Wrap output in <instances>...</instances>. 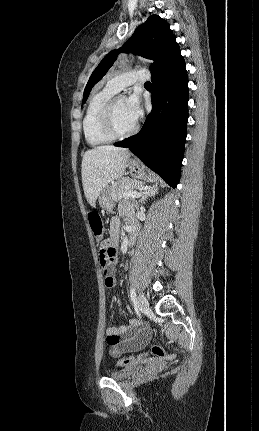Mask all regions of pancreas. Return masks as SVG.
<instances>
[{"mask_svg": "<svg viewBox=\"0 0 259 431\" xmlns=\"http://www.w3.org/2000/svg\"><path fill=\"white\" fill-rule=\"evenodd\" d=\"M142 186V182H139L136 179L124 177L116 181L114 185L111 186V196L114 202H117L123 198V193L133 191Z\"/></svg>", "mask_w": 259, "mask_h": 431, "instance_id": "cf45deb5", "label": "pancreas"}]
</instances>
